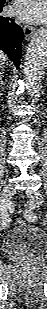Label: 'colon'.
I'll return each instance as SVG.
<instances>
[{
  "mask_svg": "<svg viewBox=\"0 0 47 309\" xmlns=\"http://www.w3.org/2000/svg\"><path fill=\"white\" fill-rule=\"evenodd\" d=\"M32 213L30 211L25 212V217L28 219H31ZM22 222L20 220L17 221V224H21Z\"/></svg>",
  "mask_w": 47,
  "mask_h": 309,
  "instance_id": "colon-1",
  "label": "colon"
}]
</instances>
